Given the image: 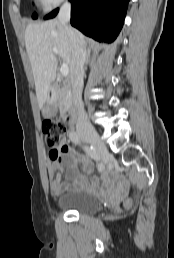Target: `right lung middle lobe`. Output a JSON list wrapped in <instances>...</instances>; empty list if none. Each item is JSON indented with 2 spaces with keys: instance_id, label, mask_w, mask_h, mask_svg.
Masks as SVG:
<instances>
[{
  "instance_id": "1",
  "label": "right lung middle lobe",
  "mask_w": 174,
  "mask_h": 258,
  "mask_svg": "<svg viewBox=\"0 0 174 258\" xmlns=\"http://www.w3.org/2000/svg\"><path fill=\"white\" fill-rule=\"evenodd\" d=\"M33 19H36L37 18V14L34 13L33 16H32Z\"/></svg>"
}]
</instances>
